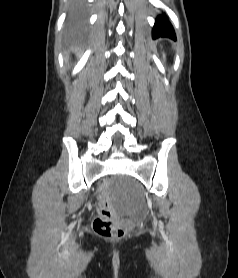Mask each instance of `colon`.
<instances>
[{
    "mask_svg": "<svg viewBox=\"0 0 238 278\" xmlns=\"http://www.w3.org/2000/svg\"><path fill=\"white\" fill-rule=\"evenodd\" d=\"M110 178L102 177L100 186L98 187L101 200H100V215L93 222L94 232L104 238L120 239L124 237L125 230L120 224L115 212L109 206L106 197L109 196L110 191Z\"/></svg>",
    "mask_w": 238,
    "mask_h": 278,
    "instance_id": "obj_1",
    "label": "colon"
}]
</instances>
